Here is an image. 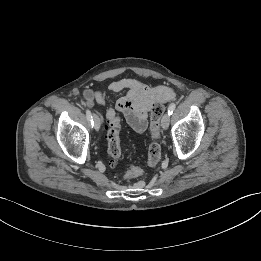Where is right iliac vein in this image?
Instances as JSON below:
<instances>
[{
    "mask_svg": "<svg viewBox=\"0 0 261 261\" xmlns=\"http://www.w3.org/2000/svg\"><path fill=\"white\" fill-rule=\"evenodd\" d=\"M93 122L94 128L98 131L101 127V120L96 114H93Z\"/></svg>",
    "mask_w": 261,
    "mask_h": 261,
    "instance_id": "63e3f726",
    "label": "right iliac vein"
}]
</instances>
